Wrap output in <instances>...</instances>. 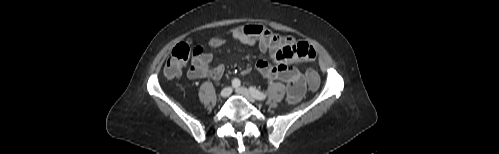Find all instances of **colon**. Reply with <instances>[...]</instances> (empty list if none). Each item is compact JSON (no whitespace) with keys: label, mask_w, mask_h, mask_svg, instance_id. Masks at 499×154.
I'll list each match as a JSON object with an SVG mask.
<instances>
[{"label":"colon","mask_w":499,"mask_h":154,"mask_svg":"<svg viewBox=\"0 0 499 154\" xmlns=\"http://www.w3.org/2000/svg\"><path fill=\"white\" fill-rule=\"evenodd\" d=\"M191 53L189 42H182L177 44L168 57L164 73L169 78L178 77L185 64L187 63ZM305 80L311 90H317L320 85V78L318 73L313 69H308L305 72Z\"/></svg>","instance_id":"colon-1"}]
</instances>
